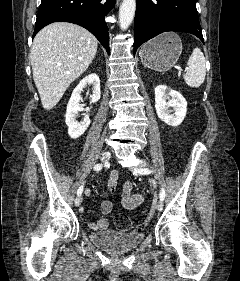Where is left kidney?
Here are the masks:
<instances>
[{"label": "left kidney", "instance_id": "left-kidney-1", "mask_svg": "<svg viewBox=\"0 0 240 281\" xmlns=\"http://www.w3.org/2000/svg\"><path fill=\"white\" fill-rule=\"evenodd\" d=\"M155 109L163 122L176 127L186 116L187 102L179 92L166 85H158L155 88Z\"/></svg>", "mask_w": 240, "mask_h": 281}]
</instances>
